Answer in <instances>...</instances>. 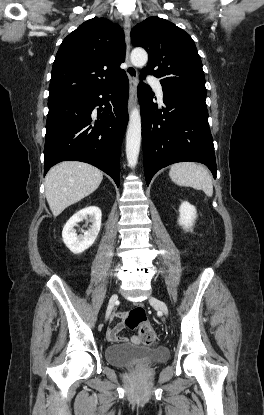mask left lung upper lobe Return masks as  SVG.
Wrapping results in <instances>:
<instances>
[{
	"mask_svg": "<svg viewBox=\"0 0 264 415\" xmlns=\"http://www.w3.org/2000/svg\"><path fill=\"white\" fill-rule=\"evenodd\" d=\"M131 38L149 55L141 75L160 78L162 86L206 91L202 62L188 33L165 19L150 17L132 29Z\"/></svg>",
	"mask_w": 264,
	"mask_h": 415,
	"instance_id": "1",
	"label": "left lung upper lobe"
}]
</instances>
